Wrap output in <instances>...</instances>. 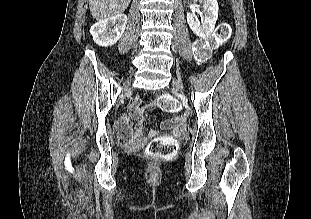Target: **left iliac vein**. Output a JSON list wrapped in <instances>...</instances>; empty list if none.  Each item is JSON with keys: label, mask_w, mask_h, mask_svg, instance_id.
Here are the masks:
<instances>
[{"label": "left iliac vein", "mask_w": 311, "mask_h": 219, "mask_svg": "<svg viewBox=\"0 0 311 219\" xmlns=\"http://www.w3.org/2000/svg\"><path fill=\"white\" fill-rule=\"evenodd\" d=\"M173 86L178 89V90H183L182 83L179 80H174L173 81Z\"/></svg>", "instance_id": "left-iliac-vein-1"}]
</instances>
